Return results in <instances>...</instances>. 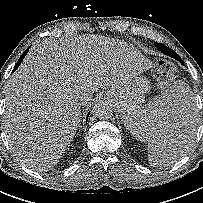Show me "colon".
I'll return each instance as SVG.
<instances>
[{
  "label": "colon",
  "instance_id": "1",
  "mask_svg": "<svg viewBox=\"0 0 203 203\" xmlns=\"http://www.w3.org/2000/svg\"><path fill=\"white\" fill-rule=\"evenodd\" d=\"M175 76L176 69L171 62L167 60H161L158 62L156 78L160 88H166Z\"/></svg>",
  "mask_w": 203,
  "mask_h": 203
}]
</instances>
